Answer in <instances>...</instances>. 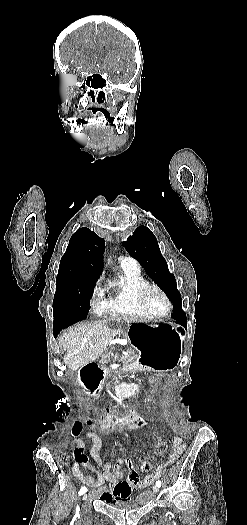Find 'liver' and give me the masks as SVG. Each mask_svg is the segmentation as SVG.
Wrapping results in <instances>:
<instances>
[{
	"instance_id": "1",
	"label": "liver",
	"mask_w": 247,
	"mask_h": 525,
	"mask_svg": "<svg viewBox=\"0 0 247 525\" xmlns=\"http://www.w3.org/2000/svg\"><path fill=\"white\" fill-rule=\"evenodd\" d=\"M111 321H94L79 327H71L58 337V345L65 349L63 357L70 371H78L84 365L92 363L106 351L116 333Z\"/></svg>"
}]
</instances>
